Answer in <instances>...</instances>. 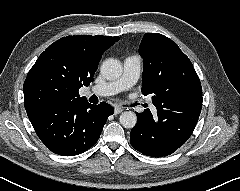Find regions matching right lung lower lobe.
<instances>
[{"instance_id": "right-lung-lower-lobe-1", "label": "right lung lower lobe", "mask_w": 240, "mask_h": 191, "mask_svg": "<svg viewBox=\"0 0 240 191\" xmlns=\"http://www.w3.org/2000/svg\"><path fill=\"white\" fill-rule=\"evenodd\" d=\"M27 112L40 140L53 153L75 156L90 149L99 139L114 109L105 102L59 101L34 107Z\"/></svg>"}]
</instances>
